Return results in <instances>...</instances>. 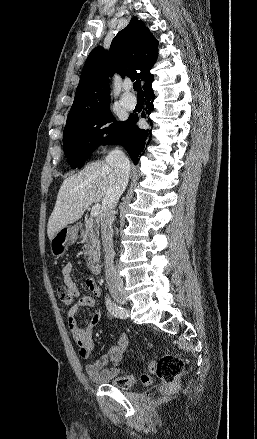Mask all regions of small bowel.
Segmentation results:
<instances>
[{"label":"small bowel","instance_id":"1","mask_svg":"<svg viewBox=\"0 0 257 439\" xmlns=\"http://www.w3.org/2000/svg\"><path fill=\"white\" fill-rule=\"evenodd\" d=\"M73 266L68 263L62 268V276L65 286H67L76 297L79 296V290L73 277ZM87 286L89 290L97 297L102 292L93 278L88 279ZM95 300L89 295L79 297L77 302L67 311V322L72 338L79 349V355L83 359H88L94 348L92 334L95 326L99 323L102 312L96 310L87 324L82 327L77 322V313L85 307H94ZM129 345L128 336L123 333L118 338L117 343L111 346L108 351L101 357L87 363L85 369L88 377L95 383H106L114 379L120 372V365L123 361L125 351Z\"/></svg>","mask_w":257,"mask_h":439}]
</instances>
